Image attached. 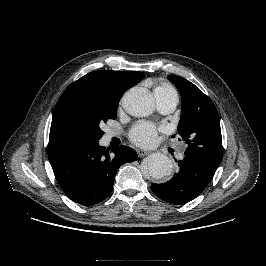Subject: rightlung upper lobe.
<instances>
[{
  "instance_id": "cb5924a9",
  "label": "right lung upper lobe",
  "mask_w": 266,
  "mask_h": 266,
  "mask_svg": "<svg viewBox=\"0 0 266 266\" xmlns=\"http://www.w3.org/2000/svg\"><path fill=\"white\" fill-rule=\"evenodd\" d=\"M144 77L139 71L120 72L100 70L86 74L70 84L60 97L55 110L69 98L110 99L120 101L121 96L131 86L137 84ZM54 110V111H55ZM50 138H53L50 135Z\"/></svg>"
}]
</instances>
